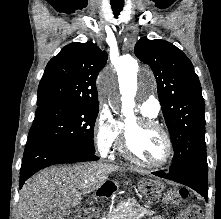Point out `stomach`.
<instances>
[{"instance_id":"stomach-1","label":"stomach","mask_w":221,"mask_h":219,"mask_svg":"<svg viewBox=\"0 0 221 219\" xmlns=\"http://www.w3.org/2000/svg\"><path fill=\"white\" fill-rule=\"evenodd\" d=\"M161 178H146L139 185L144 195L145 204H164V199L171 195V190H164Z\"/></svg>"}]
</instances>
